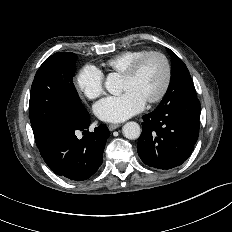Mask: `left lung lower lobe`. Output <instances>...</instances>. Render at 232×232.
Returning <instances> with one entry per match:
<instances>
[{"label": "left lung lower lobe", "mask_w": 232, "mask_h": 232, "mask_svg": "<svg viewBox=\"0 0 232 232\" xmlns=\"http://www.w3.org/2000/svg\"><path fill=\"white\" fill-rule=\"evenodd\" d=\"M143 120L138 154L146 165L168 170L180 166L194 149L199 135L200 101L181 97L159 105Z\"/></svg>", "instance_id": "left-lung-lower-lobe-1"}]
</instances>
